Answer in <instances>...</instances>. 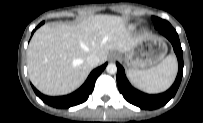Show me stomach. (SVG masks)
Wrapping results in <instances>:
<instances>
[{
  "label": "stomach",
  "instance_id": "stomach-1",
  "mask_svg": "<svg viewBox=\"0 0 203 123\" xmlns=\"http://www.w3.org/2000/svg\"><path fill=\"white\" fill-rule=\"evenodd\" d=\"M166 53L167 45L162 38L147 36L121 57L129 69L147 70L161 63Z\"/></svg>",
  "mask_w": 203,
  "mask_h": 123
}]
</instances>
